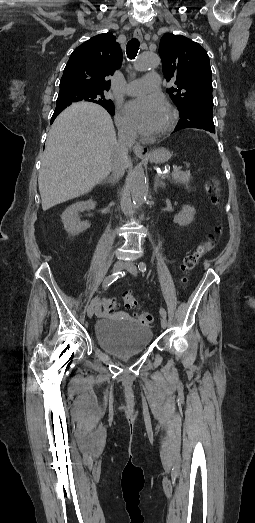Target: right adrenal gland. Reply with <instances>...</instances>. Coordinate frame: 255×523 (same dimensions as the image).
Returning a JSON list of instances; mask_svg holds the SVG:
<instances>
[{"label":"right adrenal gland","mask_w":255,"mask_h":523,"mask_svg":"<svg viewBox=\"0 0 255 523\" xmlns=\"http://www.w3.org/2000/svg\"><path fill=\"white\" fill-rule=\"evenodd\" d=\"M117 180H114V178H112V176H110V178H106V180H104L103 184H111V186H114V184H116Z\"/></svg>","instance_id":"1"}]
</instances>
